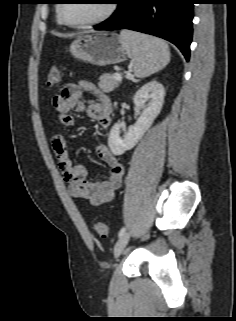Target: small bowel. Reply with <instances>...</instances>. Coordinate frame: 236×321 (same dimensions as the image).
<instances>
[{
	"label": "small bowel",
	"instance_id": "1",
	"mask_svg": "<svg viewBox=\"0 0 236 321\" xmlns=\"http://www.w3.org/2000/svg\"><path fill=\"white\" fill-rule=\"evenodd\" d=\"M83 91L94 93L98 100L85 104L82 100ZM52 103L64 126L77 125L76 118L71 115L73 111L85 113L89 118L98 121L103 129H109L111 126L109 100L101 89L89 81L79 80L66 84L61 93L54 96ZM51 144L72 196L86 199L95 206L113 199L121 186L124 166L107 146L98 145L96 154L109 167V176L102 182H93L87 180V168L83 163L74 164L71 161L66 140L62 135L55 134Z\"/></svg>",
	"mask_w": 236,
	"mask_h": 321
}]
</instances>
